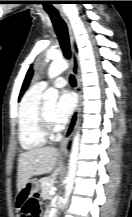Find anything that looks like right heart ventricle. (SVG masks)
Returning <instances> with one entry per match:
<instances>
[{"label": "right heart ventricle", "mask_w": 132, "mask_h": 217, "mask_svg": "<svg viewBox=\"0 0 132 217\" xmlns=\"http://www.w3.org/2000/svg\"><path fill=\"white\" fill-rule=\"evenodd\" d=\"M43 89L32 86L23 96L18 112V138L24 150H34L46 142V135L39 122Z\"/></svg>", "instance_id": "right-heart-ventricle-1"}]
</instances>
